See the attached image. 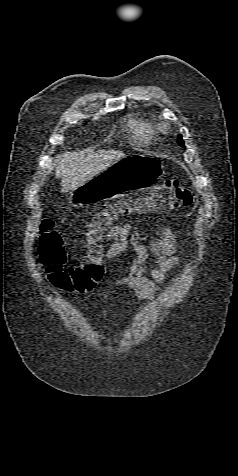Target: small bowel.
<instances>
[{
    "mask_svg": "<svg viewBox=\"0 0 238 476\" xmlns=\"http://www.w3.org/2000/svg\"><path fill=\"white\" fill-rule=\"evenodd\" d=\"M107 237L113 242L105 252L106 260H111L129 247L134 251L136 257L129 270L124 275L115 278L113 283L131 288L140 301L152 300L159 291L165 274L180 263L179 254L182 249L176 244L174 232L167 226L161 227L158 239L151 241L148 247L143 245L144 234L135 232L130 224L112 227L107 232ZM149 252L152 258H149ZM101 264L106 274L108 267L104 262ZM150 266L154 268L151 269L148 277L146 273ZM87 291L89 290H83L80 293Z\"/></svg>",
    "mask_w": 238,
    "mask_h": 476,
    "instance_id": "1",
    "label": "small bowel"
}]
</instances>
